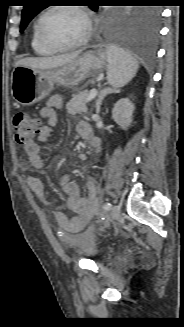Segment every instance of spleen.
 Here are the masks:
<instances>
[{
    "label": "spleen",
    "instance_id": "spleen-1",
    "mask_svg": "<svg viewBox=\"0 0 184 327\" xmlns=\"http://www.w3.org/2000/svg\"><path fill=\"white\" fill-rule=\"evenodd\" d=\"M107 80L113 87H123L136 74L138 62L127 51L110 45L106 50Z\"/></svg>",
    "mask_w": 184,
    "mask_h": 327
}]
</instances>
